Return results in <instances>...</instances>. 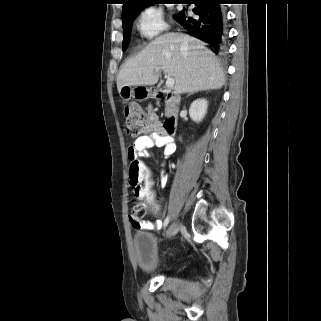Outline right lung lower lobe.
I'll use <instances>...</instances> for the list:
<instances>
[{"label":"right lung lower lobe","instance_id":"obj_1","mask_svg":"<svg viewBox=\"0 0 321 321\" xmlns=\"http://www.w3.org/2000/svg\"><path fill=\"white\" fill-rule=\"evenodd\" d=\"M225 0H188L195 4L194 16L188 17L183 9L174 15V19L192 36L209 44L217 52L224 42L223 10L220 4Z\"/></svg>","mask_w":321,"mask_h":321}]
</instances>
